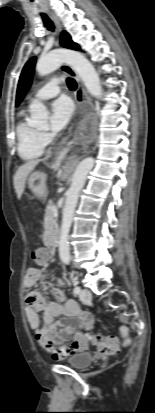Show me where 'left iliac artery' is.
Masks as SVG:
<instances>
[{"label":"left iliac artery","instance_id":"44dca946","mask_svg":"<svg viewBox=\"0 0 155 413\" xmlns=\"http://www.w3.org/2000/svg\"><path fill=\"white\" fill-rule=\"evenodd\" d=\"M80 292H81L80 287H79V286H76V287L74 288V294L78 295V294H80Z\"/></svg>","mask_w":155,"mask_h":413}]
</instances>
